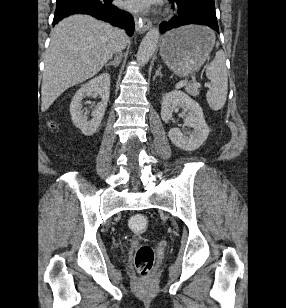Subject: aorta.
Wrapping results in <instances>:
<instances>
[{"label":"aorta","mask_w":286,"mask_h":308,"mask_svg":"<svg viewBox=\"0 0 286 308\" xmlns=\"http://www.w3.org/2000/svg\"><path fill=\"white\" fill-rule=\"evenodd\" d=\"M159 36L160 30L158 27H153L146 33L136 55L139 66H144L148 63L157 48Z\"/></svg>","instance_id":"1"}]
</instances>
